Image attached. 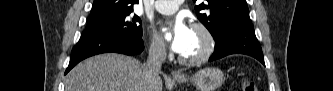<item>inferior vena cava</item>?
I'll return each instance as SVG.
<instances>
[{"instance_id":"obj_1","label":"inferior vena cava","mask_w":333,"mask_h":91,"mask_svg":"<svg viewBox=\"0 0 333 91\" xmlns=\"http://www.w3.org/2000/svg\"><path fill=\"white\" fill-rule=\"evenodd\" d=\"M166 59L165 44L163 42H155L150 45L149 55L145 64L146 77L149 80L159 78L162 64Z\"/></svg>"}]
</instances>
